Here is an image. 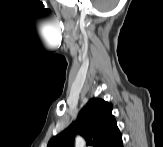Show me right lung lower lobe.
<instances>
[{"instance_id":"1","label":"right lung lower lobe","mask_w":163,"mask_h":147,"mask_svg":"<svg viewBox=\"0 0 163 147\" xmlns=\"http://www.w3.org/2000/svg\"><path fill=\"white\" fill-rule=\"evenodd\" d=\"M111 147H123L122 136Z\"/></svg>"}]
</instances>
